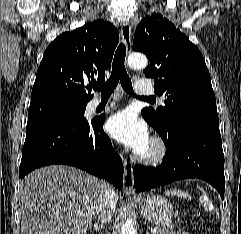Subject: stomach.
I'll return each mask as SVG.
<instances>
[{"mask_svg":"<svg viewBox=\"0 0 241 234\" xmlns=\"http://www.w3.org/2000/svg\"><path fill=\"white\" fill-rule=\"evenodd\" d=\"M139 212L147 221L163 228L169 227L173 220L172 204L160 195H149L139 200Z\"/></svg>","mask_w":241,"mask_h":234,"instance_id":"stomach-1","label":"stomach"}]
</instances>
